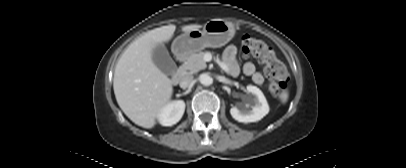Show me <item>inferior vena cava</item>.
Returning a JSON list of instances; mask_svg holds the SVG:
<instances>
[{
  "label": "inferior vena cava",
  "mask_w": 406,
  "mask_h": 168,
  "mask_svg": "<svg viewBox=\"0 0 406 168\" xmlns=\"http://www.w3.org/2000/svg\"><path fill=\"white\" fill-rule=\"evenodd\" d=\"M192 81H193V76L192 75H190V74L185 75V76L182 77V79L180 81V87L182 89H186L191 85Z\"/></svg>",
  "instance_id": "inferior-vena-cava-1"
}]
</instances>
